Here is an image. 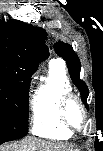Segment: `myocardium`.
I'll return each instance as SVG.
<instances>
[{
	"instance_id": "f54148a6",
	"label": "myocardium",
	"mask_w": 103,
	"mask_h": 151,
	"mask_svg": "<svg viewBox=\"0 0 103 151\" xmlns=\"http://www.w3.org/2000/svg\"><path fill=\"white\" fill-rule=\"evenodd\" d=\"M71 103L77 104V106L80 108L82 112L83 120L81 125L79 126L75 125L69 118L68 110ZM58 118L60 122L70 131H80L84 129L87 124L88 114L80 98L73 92H69L64 94L60 98L59 105H58Z\"/></svg>"
}]
</instances>
